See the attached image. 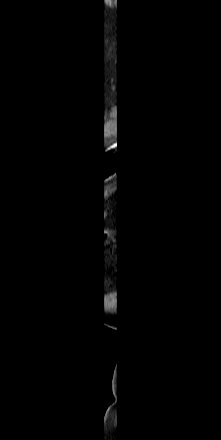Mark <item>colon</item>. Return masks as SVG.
<instances>
[{
  "instance_id": "1",
  "label": "colon",
  "mask_w": 221,
  "mask_h": 440,
  "mask_svg": "<svg viewBox=\"0 0 221 440\" xmlns=\"http://www.w3.org/2000/svg\"><path fill=\"white\" fill-rule=\"evenodd\" d=\"M93 233L95 241L104 248V246L108 243L107 238L105 237V229L103 221H98L93 223ZM115 251V274L119 279L124 270V262H125V252L124 247L121 240H117L114 244Z\"/></svg>"
}]
</instances>
